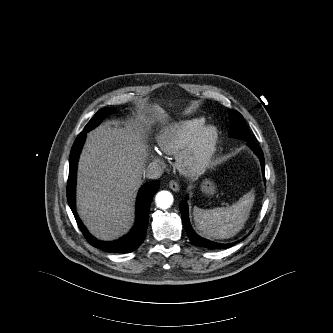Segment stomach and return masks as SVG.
Here are the masks:
<instances>
[{
    "mask_svg": "<svg viewBox=\"0 0 333 333\" xmlns=\"http://www.w3.org/2000/svg\"><path fill=\"white\" fill-rule=\"evenodd\" d=\"M201 191L202 193H204L205 195H213L216 191V187L214 185V183L210 180H205L202 184H201Z\"/></svg>",
    "mask_w": 333,
    "mask_h": 333,
    "instance_id": "0dacf381",
    "label": "stomach"
}]
</instances>
